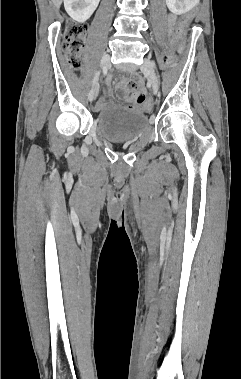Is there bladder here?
I'll list each match as a JSON object with an SVG mask.
<instances>
[{
    "mask_svg": "<svg viewBox=\"0 0 241 379\" xmlns=\"http://www.w3.org/2000/svg\"><path fill=\"white\" fill-rule=\"evenodd\" d=\"M96 125L105 139L122 143L141 137L148 127V120L138 109L114 106L102 110L97 115Z\"/></svg>",
    "mask_w": 241,
    "mask_h": 379,
    "instance_id": "31cf9c89",
    "label": "bladder"
}]
</instances>
